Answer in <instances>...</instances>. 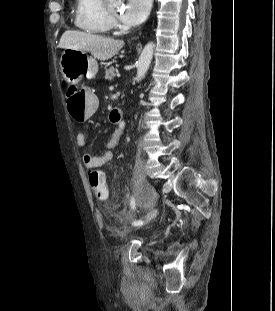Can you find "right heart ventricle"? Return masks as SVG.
Wrapping results in <instances>:
<instances>
[{
    "label": "right heart ventricle",
    "instance_id": "e07e8e85",
    "mask_svg": "<svg viewBox=\"0 0 275 311\" xmlns=\"http://www.w3.org/2000/svg\"><path fill=\"white\" fill-rule=\"evenodd\" d=\"M73 23L77 29L85 33L105 34L110 27L105 0H76Z\"/></svg>",
    "mask_w": 275,
    "mask_h": 311
}]
</instances>
